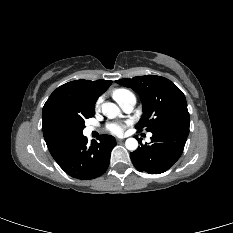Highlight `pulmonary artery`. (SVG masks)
<instances>
[{"label":"pulmonary artery","mask_w":233,"mask_h":233,"mask_svg":"<svg viewBox=\"0 0 233 233\" xmlns=\"http://www.w3.org/2000/svg\"><path fill=\"white\" fill-rule=\"evenodd\" d=\"M136 104V98H127L124 101H122L119 105L121 106V108L127 112L130 113L132 112V110L134 109ZM92 131H94V128L89 126L86 128V133H91ZM149 138L151 137V134H149L148 136Z\"/></svg>","instance_id":"e3ab8cb5"}]
</instances>
